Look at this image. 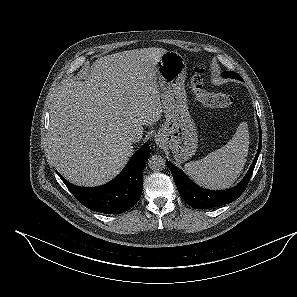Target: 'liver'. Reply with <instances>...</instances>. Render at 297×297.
<instances>
[{
  "label": "liver",
  "mask_w": 297,
  "mask_h": 297,
  "mask_svg": "<svg viewBox=\"0 0 297 297\" xmlns=\"http://www.w3.org/2000/svg\"><path fill=\"white\" fill-rule=\"evenodd\" d=\"M166 51L151 47L101 57L86 81L61 87L50 113L48 148L67 180L102 185L126 165L134 151L128 133L143 134V126L161 118L156 65Z\"/></svg>",
  "instance_id": "obj_1"
}]
</instances>
